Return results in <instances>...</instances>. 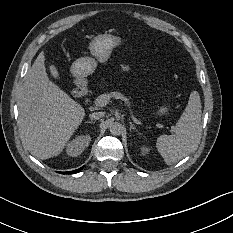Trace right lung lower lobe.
<instances>
[{
	"label": "right lung lower lobe",
	"instance_id": "1",
	"mask_svg": "<svg viewBox=\"0 0 233 233\" xmlns=\"http://www.w3.org/2000/svg\"><path fill=\"white\" fill-rule=\"evenodd\" d=\"M83 167L77 169V170H74V171H70V172H62L63 174H69V173H76L78 171H80Z\"/></svg>",
	"mask_w": 233,
	"mask_h": 233
}]
</instances>
